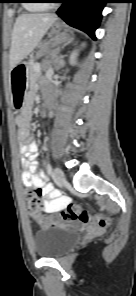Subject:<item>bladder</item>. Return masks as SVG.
<instances>
[{"instance_id":"obj_1","label":"bladder","mask_w":136,"mask_h":296,"mask_svg":"<svg viewBox=\"0 0 136 296\" xmlns=\"http://www.w3.org/2000/svg\"><path fill=\"white\" fill-rule=\"evenodd\" d=\"M77 239V233L66 226H49L35 232V252L43 258H58L69 251Z\"/></svg>"}]
</instances>
